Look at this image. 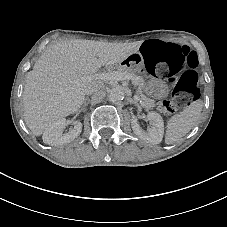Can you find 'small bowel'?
<instances>
[{
    "mask_svg": "<svg viewBox=\"0 0 227 227\" xmlns=\"http://www.w3.org/2000/svg\"><path fill=\"white\" fill-rule=\"evenodd\" d=\"M138 57H139V61L143 64L142 56L139 54ZM143 66H144V64H143Z\"/></svg>",
    "mask_w": 227,
    "mask_h": 227,
    "instance_id": "obj_1",
    "label": "small bowel"
}]
</instances>
